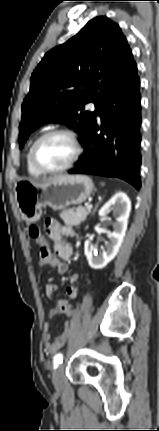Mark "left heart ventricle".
I'll return each mask as SVG.
<instances>
[{"label":"left heart ventricle","mask_w":159,"mask_h":431,"mask_svg":"<svg viewBox=\"0 0 159 431\" xmlns=\"http://www.w3.org/2000/svg\"><path fill=\"white\" fill-rule=\"evenodd\" d=\"M73 153V145L67 136L54 135L39 144L36 157L43 167L57 169L67 164Z\"/></svg>","instance_id":"left-heart-ventricle-1"}]
</instances>
